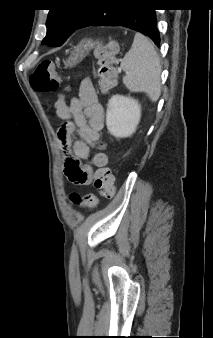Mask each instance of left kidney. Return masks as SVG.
<instances>
[{
	"instance_id": "5707ae66",
	"label": "left kidney",
	"mask_w": 213,
	"mask_h": 338,
	"mask_svg": "<svg viewBox=\"0 0 213 338\" xmlns=\"http://www.w3.org/2000/svg\"><path fill=\"white\" fill-rule=\"evenodd\" d=\"M141 107L131 97L114 95L108 102L106 112L107 129L116 138L131 136L140 122Z\"/></svg>"
}]
</instances>
